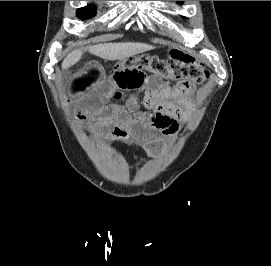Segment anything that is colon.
I'll return each instance as SVG.
<instances>
[{
  "label": "colon",
  "mask_w": 271,
  "mask_h": 266,
  "mask_svg": "<svg viewBox=\"0 0 271 266\" xmlns=\"http://www.w3.org/2000/svg\"><path fill=\"white\" fill-rule=\"evenodd\" d=\"M137 67L165 79L176 81L186 91L202 85L208 78V72L196 66H182L157 56L140 55L119 62L116 69Z\"/></svg>",
  "instance_id": "obj_1"
}]
</instances>
